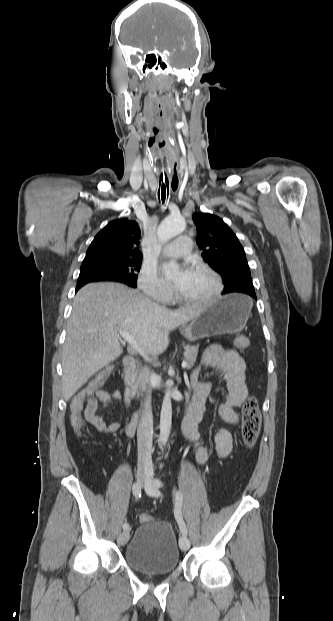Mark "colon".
Returning a JSON list of instances; mask_svg holds the SVG:
<instances>
[{
  "label": "colon",
  "mask_w": 333,
  "mask_h": 621,
  "mask_svg": "<svg viewBox=\"0 0 333 621\" xmlns=\"http://www.w3.org/2000/svg\"><path fill=\"white\" fill-rule=\"evenodd\" d=\"M235 344L239 349H246L249 347V339L245 336H239L236 338ZM111 371L112 367L110 366L101 370L74 395L70 404V421L77 433H80L84 426L81 417L84 401L103 385ZM261 421L262 416L258 401L255 397L250 396L244 402L242 408V437L247 447H253L257 442ZM151 520L152 517L148 514H141L139 516L140 523H147Z\"/></svg>",
  "instance_id": "obj_1"
}]
</instances>
